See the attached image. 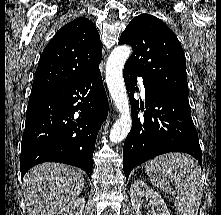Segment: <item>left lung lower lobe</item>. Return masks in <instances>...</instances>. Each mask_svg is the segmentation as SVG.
Returning a JSON list of instances; mask_svg holds the SVG:
<instances>
[{
    "instance_id": "obj_1",
    "label": "left lung lower lobe",
    "mask_w": 221,
    "mask_h": 215,
    "mask_svg": "<svg viewBox=\"0 0 221 215\" xmlns=\"http://www.w3.org/2000/svg\"><path fill=\"white\" fill-rule=\"evenodd\" d=\"M123 74L132 106V128L123 147L126 179L134 167L167 152L188 153L202 166L201 148L191 118L188 97L143 78L145 105L140 103L139 108V101L134 99V93L137 91V76L140 75L126 66Z\"/></svg>"
}]
</instances>
